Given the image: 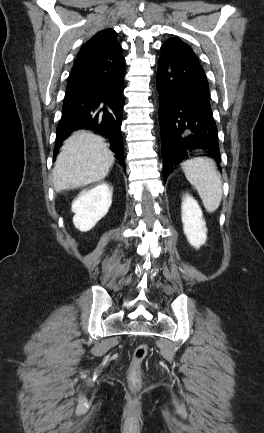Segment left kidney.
<instances>
[{
    "label": "left kidney",
    "mask_w": 264,
    "mask_h": 433,
    "mask_svg": "<svg viewBox=\"0 0 264 433\" xmlns=\"http://www.w3.org/2000/svg\"><path fill=\"white\" fill-rule=\"evenodd\" d=\"M181 209L184 234L190 245L198 249L207 239V228L202 210L197 201L189 194L185 195Z\"/></svg>",
    "instance_id": "left-kidney-1"
}]
</instances>
